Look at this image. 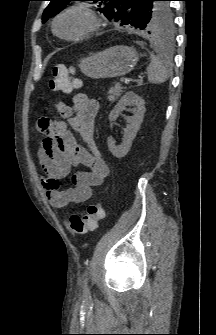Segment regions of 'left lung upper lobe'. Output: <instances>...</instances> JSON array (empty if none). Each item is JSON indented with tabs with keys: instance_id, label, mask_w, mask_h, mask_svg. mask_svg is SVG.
<instances>
[{
	"instance_id": "obj_1",
	"label": "left lung upper lobe",
	"mask_w": 216,
	"mask_h": 335,
	"mask_svg": "<svg viewBox=\"0 0 216 335\" xmlns=\"http://www.w3.org/2000/svg\"><path fill=\"white\" fill-rule=\"evenodd\" d=\"M42 22L56 15L74 0H49ZM99 3V11L120 26H133L149 34H170L173 30V15L168 0H90Z\"/></svg>"
}]
</instances>
